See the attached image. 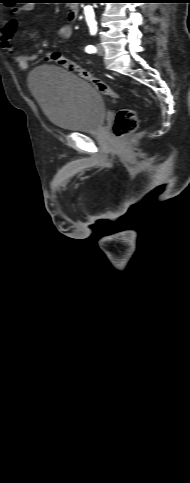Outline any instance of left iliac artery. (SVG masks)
I'll use <instances>...</instances> for the list:
<instances>
[{
	"label": "left iliac artery",
	"instance_id": "left-iliac-artery-1",
	"mask_svg": "<svg viewBox=\"0 0 190 483\" xmlns=\"http://www.w3.org/2000/svg\"><path fill=\"white\" fill-rule=\"evenodd\" d=\"M89 26H90V28H91V34H94V33L96 32V31L93 29V27H94V23H91V22H90V23H89ZM85 51H86L87 53H95V52H96V48H95L93 45H88V46H86Z\"/></svg>",
	"mask_w": 190,
	"mask_h": 483
}]
</instances>
